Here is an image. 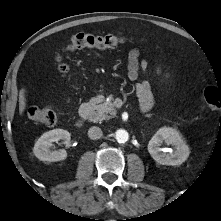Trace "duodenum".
I'll return each instance as SVG.
<instances>
[{"label": "duodenum", "instance_id": "duodenum-1", "mask_svg": "<svg viewBox=\"0 0 221 221\" xmlns=\"http://www.w3.org/2000/svg\"><path fill=\"white\" fill-rule=\"evenodd\" d=\"M92 106L89 103H83L79 108V118L76 121V127L81 128L85 120L90 116Z\"/></svg>", "mask_w": 221, "mask_h": 221}]
</instances>
